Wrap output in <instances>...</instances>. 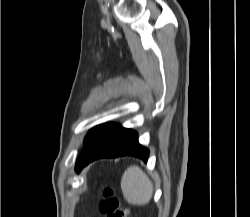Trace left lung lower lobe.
Listing matches in <instances>:
<instances>
[{
  "label": "left lung lower lobe",
  "instance_id": "obj_1",
  "mask_svg": "<svg viewBox=\"0 0 250 217\" xmlns=\"http://www.w3.org/2000/svg\"><path fill=\"white\" fill-rule=\"evenodd\" d=\"M131 155L148 160L149 150L138 142L137 134L115 123L104 124L81 151L75 166L80 172L84 166L99 158Z\"/></svg>",
  "mask_w": 250,
  "mask_h": 217
}]
</instances>
